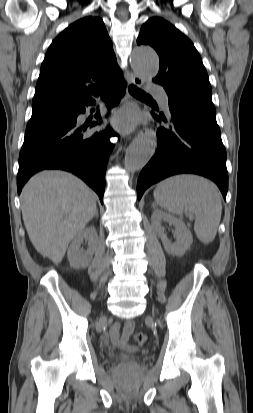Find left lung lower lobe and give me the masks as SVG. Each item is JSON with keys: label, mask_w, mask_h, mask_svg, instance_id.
<instances>
[{"label": "left lung lower lobe", "mask_w": 253, "mask_h": 413, "mask_svg": "<svg viewBox=\"0 0 253 413\" xmlns=\"http://www.w3.org/2000/svg\"><path fill=\"white\" fill-rule=\"evenodd\" d=\"M169 111L167 118L162 113H152L162 126L157 129L155 155L138 178V199L152 184L180 173L210 178L226 199V150L216 122V111L173 98H169Z\"/></svg>", "instance_id": "left-lung-lower-lobe-1"}]
</instances>
